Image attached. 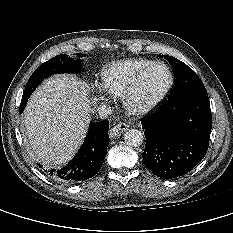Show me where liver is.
I'll use <instances>...</instances> for the list:
<instances>
[{"label": "liver", "mask_w": 233, "mask_h": 233, "mask_svg": "<svg viewBox=\"0 0 233 233\" xmlns=\"http://www.w3.org/2000/svg\"><path fill=\"white\" fill-rule=\"evenodd\" d=\"M86 84L73 75L47 79L31 96L24 122L31 152L47 167L68 162L81 145L90 122Z\"/></svg>", "instance_id": "liver-1"}]
</instances>
